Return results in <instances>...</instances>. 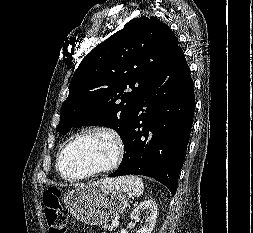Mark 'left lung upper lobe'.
<instances>
[{
    "label": "left lung upper lobe",
    "mask_w": 253,
    "mask_h": 233,
    "mask_svg": "<svg viewBox=\"0 0 253 233\" xmlns=\"http://www.w3.org/2000/svg\"><path fill=\"white\" fill-rule=\"evenodd\" d=\"M178 45L171 29L156 17L129 21L78 66L57 131L101 125L114 129L123 139L133 113L164 76Z\"/></svg>",
    "instance_id": "obj_1"
}]
</instances>
